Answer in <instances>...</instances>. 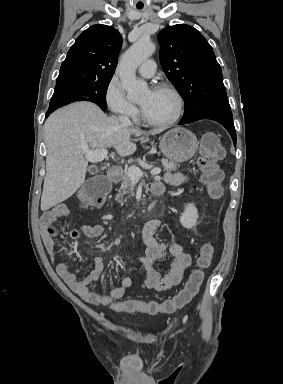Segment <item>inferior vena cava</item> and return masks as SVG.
I'll return each mask as SVG.
<instances>
[{
	"label": "inferior vena cava",
	"mask_w": 283,
	"mask_h": 384,
	"mask_svg": "<svg viewBox=\"0 0 283 384\" xmlns=\"http://www.w3.org/2000/svg\"><path fill=\"white\" fill-rule=\"evenodd\" d=\"M118 120L121 122V124H123V126H132L126 112H123L121 116H118Z\"/></svg>",
	"instance_id": "obj_1"
}]
</instances>
